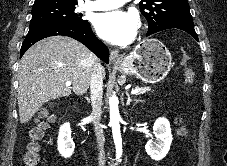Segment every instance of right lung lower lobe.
<instances>
[{
  "instance_id": "obj_1",
  "label": "right lung lower lobe",
  "mask_w": 227,
  "mask_h": 166,
  "mask_svg": "<svg viewBox=\"0 0 227 166\" xmlns=\"http://www.w3.org/2000/svg\"><path fill=\"white\" fill-rule=\"evenodd\" d=\"M56 35L74 38L84 44L105 63L109 62L108 48L93 34L90 24L78 26L70 24H50L30 30L22 44L21 56L39 40Z\"/></svg>"
}]
</instances>
